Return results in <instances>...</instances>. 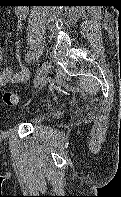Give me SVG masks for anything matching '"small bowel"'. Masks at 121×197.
<instances>
[{
  "label": "small bowel",
  "instance_id": "small-bowel-1",
  "mask_svg": "<svg viewBox=\"0 0 121 197\" xmlns=\"http://www.w3.org/2000/svg\"><path fill=\"white\" fill-rule=\"evenodd\" d=\"M16 17L19 21L18 27H20V22L26 17L27 11L23 7H18L15 10ZM15 49L17 57L20 61V71L17 74H14V71L11 67H6L3 70H0V87H4L9 83H25L29 78V70L23 65L20 57V43L17 41L15 43ZM2 60V51L0 48V63Z\"/></svg>",
  "mask_w": 121,
  "mask_h": 197
}]
</instances>
